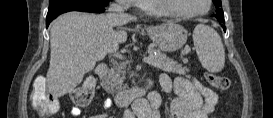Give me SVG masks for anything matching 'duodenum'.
<instances>
[{
    "label": "duodenum",
    "instance_id": "410a0bca",
    "mask_svg": "<svg viewBox=\"0 0 273 118\" xmlns=\"http://www.w3.org/2000/svg\"><path fill=\"white\" fill-rule=\"evenodd\" d=\"M107 69L105 63H99L95 68V73L98 77L103 78L107 73ZM149 88L150 84H146L135 89L118 91L113 95L114 103L118 107L127 106L137 98L144 96Z\"/></svg>",
    "mask_w": 273,
    "mask_h": 118
}]
</instances>
